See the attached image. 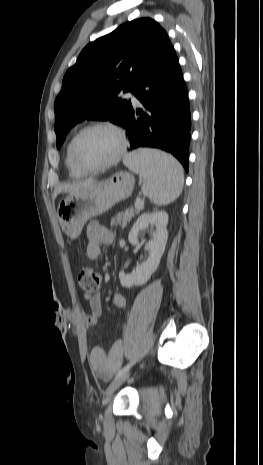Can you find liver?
Wrapping results in <instances>:
<instances>
[{"label":"liver","mask_w":263,"mask_h":465,"mask_svg":"<svg viewBox=\"0 0 263 465\" xmlns=\"http://www.w3.org/2000/svg\"><path fill=\"white\" fill-rule=\"evenodd\" d=\"M97 181L94 180V179H88V180H85V181H82V182H76V183H72V184H67V185H61L59 186L58 188H56L54 190V193H53V198L55 199L57 197L58 194L62 193V192H77L79 190H82L94 183H96Z\"/></svg>","instance_id":"obj_1"}]
</instances>
